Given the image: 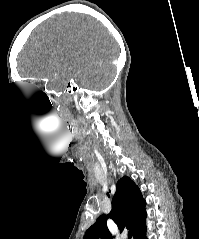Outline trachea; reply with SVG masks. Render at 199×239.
<instances>
[{
	"label": "trachea",
	"mask_w": 199,
	"mask_h": 239,
	"mask_svg": "<svg viewBox=\"0 0 199 239\" xmlns=\"http://www.w3.org/2000/svg\"><path fill=\"white\" fill-rule=\"evenodd\" d=\"M132 235H133L132 231H129V232H128V238L131 239V238H132Z\"/></svg>",
	"instance_id": "obj_1"
}]
</instances>
